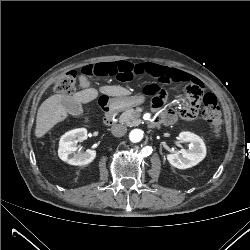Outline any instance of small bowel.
Listing matches in <instances>:
<instances>
[{
  "label": "small bowel",
  "mask_w": 250,
  "mask_h": 250,
  "mask_svg": "<svg viewBox=\"0 0 250 250\" xmlns=\"http://www.w3.org/2000/svg\"><path fill=\"white\" fill-rule=\"evenodd\" d=\"M142 65L147 72L158 76L165 82L174 81L183 86L186 90H196L198 95L194 96L195 99L187 104L180 113V116L186 120L192 119L197 111L199 98L203 94L201 82L195 76L183 72L181 70L166 67L154 62H145ZM82 85L87 83L84 76H80ZM159 97L153 99V117H158L165 125H172L177 121L178 114L174 109L166 108L167 94L164 90L159 91Z\"/></svg>",
  "instance_id": "c3829d8e"
}]
</instances>
